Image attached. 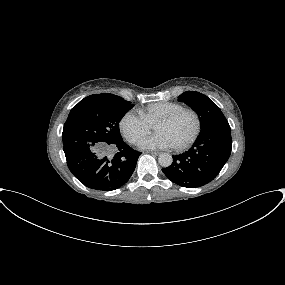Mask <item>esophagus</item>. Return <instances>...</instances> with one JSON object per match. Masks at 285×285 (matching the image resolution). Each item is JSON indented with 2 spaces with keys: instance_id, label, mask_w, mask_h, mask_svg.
<instances>
[{
  "instance_id": "1",
  "label": "esophagus",
  "mask_w": 285,
  "mask_h": 285,
  "mask_svg": "<svg viewBox=\"0 0 285 285\" xmlns=\"http://www.w3.org/2000/svg\"><path fill=\"white\" fill-rule=\"evenodd\" d=\"M148 154H151V155H159L160 153L159 152H156V151H147Z\"/></svg>"
}]
</instances>
